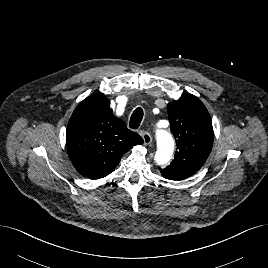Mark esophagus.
Segmentation results:
<instances>
[{"label": "esophagus", "instance_id": "1", "mask_svg": "<svg viewBox=\"0 0 268 268\" xmlns=\"http://www.w3.org/2000/svg\"><path fill=\"white\" fill-rule=\"evenodd\" d=\"M142 138L145 145H149L152 142V137L147 131L142 133Z\"/></svg>", "mask_w": 268, "mask_h": 268}]
</instances>
